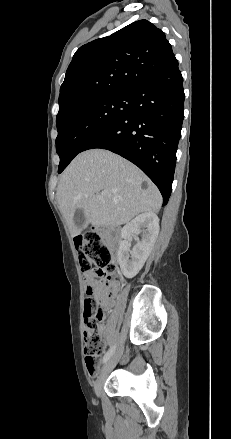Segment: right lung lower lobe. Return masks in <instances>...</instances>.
<instances>
[{
	"mask_svg": "<svg viewBox=\"0 0 231 439\" xmlns=\"http://www.w3.org/2000/svg\"><path fill=\"white\" fill-rule=\"evenodd\" d=\"M183 78L176 61L132 94L130 110L81 149L110 150L137 165L159 188L166 205L184 118Z\"/></svg>",
	"mask_w": 231,
	"mask_h": 439,
	"instance_id": "obj_1",
	"label": "right lung lower lobe"
}]
</instances>
